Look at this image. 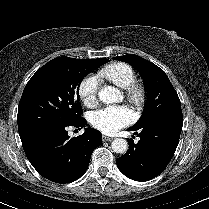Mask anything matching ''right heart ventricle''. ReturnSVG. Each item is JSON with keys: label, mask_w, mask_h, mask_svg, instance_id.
Listing matches in <instances>:
<instances>
[{"label": "right heart ventricle", "mask_w": 209, "mask_h": 209, "mask_svg": "<svg viewBox=\"0 0 209 209\" xmlns=\"http://www.w3.org/2000/svg\"><path fill=\"white\" fill-rule=\"evenodd\" d=\"M102 76L122 89H129L134 85L136 75L133 68L126 63H114L101 72Z\"/></svg>", "instance_id": "1"}]
</instances>
